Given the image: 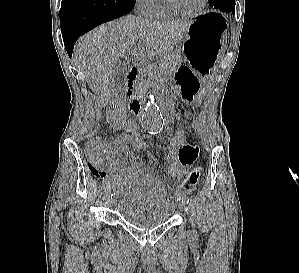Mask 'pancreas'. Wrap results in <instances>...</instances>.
<instances>
[{"label":"pancreas","instance_id":"1","mask_svg":"<svg viewBox=\"0 0 299 273\" xmlns=\"http://www.w3.org/2000/svg\"><path fill=\"white\" fill-rule=\"evenodd\" d=\"M181 56L179 51L168 54L157 64H148L143 67L142 87L150 84H156L159 81L166 80L181 65ZM142 89V88H141Z\"/></svg>","mask_w":299,"mask_h":273}]
</instances>
